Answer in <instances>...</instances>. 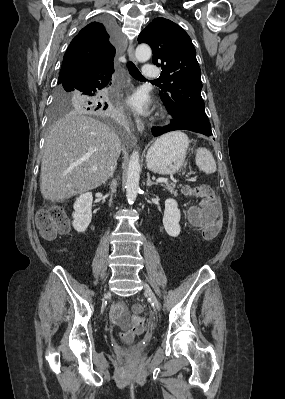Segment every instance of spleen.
<instances>
[{
	"label": "spleen",
	"mask_w": 285,
	"mask_h": 399,
	"mask_svg": "<svg viewBox=\"0 0 285 399\" xmlns=\"http://www.w3.org/2000/svg\"><path fill=\"white\" fill-rule=\"evenodd\" d=\"M195 162L199 169L207 174H211L216 171V162L214 157L212 153L204 147H201L197 150Z\"/></svg>",
	"instance_id": "3e777b00"
}]
</instances>
